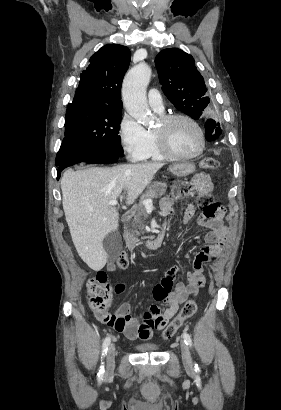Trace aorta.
<instances>
[{"mask_svg": "<svg viewBox=\"0 0 281 410\" xmlns=\"http://www.w3.org/2000/svg\"><path fill=\"white\" fill-rule=\"evenodd\" d=\"M152 75L151 68L140 63L126 75L123 83V104L127 112L143 125L153 122L146 98V88Z\"/></svg>", "mask_w": 281, "mask_h": 410, "instance_id": "aorta-1", "label": "aorta"}]
</instances>
